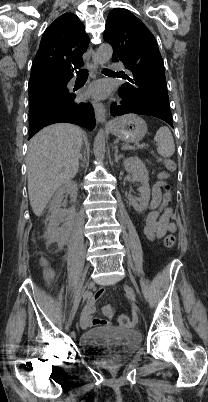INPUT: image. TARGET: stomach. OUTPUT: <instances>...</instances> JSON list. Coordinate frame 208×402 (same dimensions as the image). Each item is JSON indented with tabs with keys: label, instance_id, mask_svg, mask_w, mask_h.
Instances as JSON below:
<instances>
[{
	"label": "stomach",
	"instance_id": "obj_1",
	"mask_svg": "<svg viewBox=\"0 0 208 402\" xmlns=\"http://www.w3.org/2000/svg\"><path fill=\"white\" fill-rule=\"evenodd\" d=\"M109 130L111 134L117 136L122 142L134 144V142H140L144 138L147 126L144 120L136 116V114H125V116L114 120Z\"/></svg>",
	"mask_w": 208,
	"mask_h": 402
}]
</instances>
